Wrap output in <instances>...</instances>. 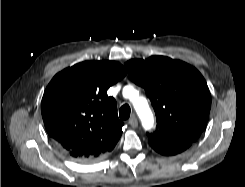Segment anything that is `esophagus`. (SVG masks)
<instances>
[{"mask_svg":"<svg viewBox=\"0 0 245 187\" xmlns=\"http://www.w3.org/2000/svg\"><path fill=\"white\" fill-rule=\"evenodd\" d=\"M129 125L132 127V128H136L138 126V120L135 116H132L129 121H128Z\"/></svg>","mask_w":245,"mask_h":187,"instance_id":"1","label":"esophagus"}]
</instances>
